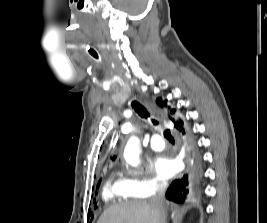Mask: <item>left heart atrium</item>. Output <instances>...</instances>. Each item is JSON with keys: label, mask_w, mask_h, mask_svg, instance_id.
I'll return each instance as SVG.
<instances>
[{"label": "left heart atrium", "mask_w": 267, "mask_h": 223, "mask_svg": "<svg viewBox=\"0 0 267 223\" xmlns=\"http://www.w3.org/2000/svg\"><path fill=\"white\" fill-rule=\"evenodd\" d=\"M155 170L160 178L169 179L178 171V166L172 157L160 156L155 161Z\"/></svg>", "instance_id": "left-heart-atrium-1"}]
</instances>
